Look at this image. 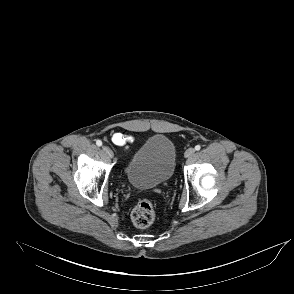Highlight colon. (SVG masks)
I'll list each match as a JSON object with an SVG mask.
<instances>
[{
    "label": "colon",
    "mask_w": 294,
    "mask_h": 294,
    "mask_svg": "<svg viewBox=\"0 0 294 294\" xmlns=\"http://www.w3.org/2000/svg\"><path fill=\"white\" fill-rule=\"evenodd\" d=\"M155 219L153 204L148 199L140 200L131 211V220L138 228L150 226Z\"/></svg>",
    "instance_id": "1"
}]
</instances>
